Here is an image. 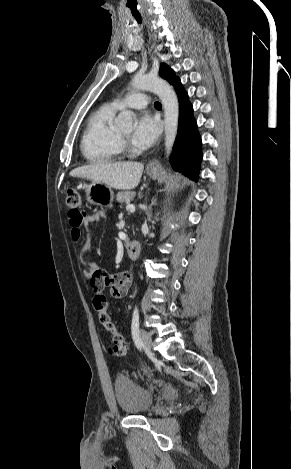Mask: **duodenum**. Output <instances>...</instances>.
<instances>
[{
  "instance_id": "duodenum-1",
  "label": "duodenum",
  "mask_w": 291,
  "mask_h": 469,
  "mask_svg": "<svg viewBox=\"0 0 291 469\" xmlns=\"http://www.w3.org/2000/svg\"><path fill=\"white\" fill-rule=\"evenodd\" d=\"M126 252L129 258L131 259H137L140 256L141 253V244L139 241L134 240L129 242L126 245Z\"/></svg>"
}]
</instances>
